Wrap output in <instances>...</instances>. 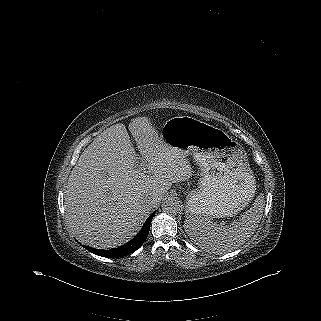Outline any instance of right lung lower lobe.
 <instances>
[{"label": "right lung lower lobe", "instance_id": "1", "mask_svg": "<svg viewBox=\"0 0 321 321\" xmlns=\"http://www.w3.org/2000/svg\"><path fill=\"white\" fill-rule=\"evenodd\" d=\"M155 213H152L147 220L145 221L142 229L140 232L128 243L120 246L119 248H114L110 250H98L95 248L84 246L88 251L102 256V257H108V258H115V257H122L128 254L133 253L137 249H139L142 244L145 242L150 229L151 220L154 217Z\"/></svg>", "mask_w": 321, "mask_h": 321}]
</instances>
